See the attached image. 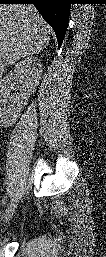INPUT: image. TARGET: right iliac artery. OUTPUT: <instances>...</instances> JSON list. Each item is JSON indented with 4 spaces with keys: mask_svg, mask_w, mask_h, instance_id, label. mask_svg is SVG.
<instances>
[{
    "mask_svg": "<svg viewBox=\"0 0 106 257\" xmlns=\"http://www.w3.org/2000/svg\"><path fill=\"white\" fill-rule=\"evenodd\" d=\"M10 204H11V200L8 197H6V199H4L3 201V206L8 207Z\"/></svg>",
    "mask_w": 106,
    "mask_h": 257,
    "instance_id": "82829eb1",
    "label": "right iliac artery"
}]
</instances>
